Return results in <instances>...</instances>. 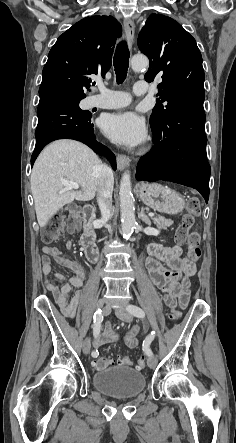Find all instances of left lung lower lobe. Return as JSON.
Returning a JSON list of instances; mask_svg holds the SVG:
<instances>
[{
    "mask_svg": "<svg viewBox=\"0 0 236 443\" xmlns=\"http://www.w3.org/2000/svg\"><path fill=\"white\" fill-rule=\"evenodd\" d=\"M204 124L201 104H185L168 112L163 124L151 126L155 146L140 159L136 179L171 181L195 188L207 203L211 169Z\"/></svg>",
    "mask_w": 236,
    "mask_h": 443,
    "instance_id": "obj_1",
    "label": "left lung lower lobe"
}]
</instances>
